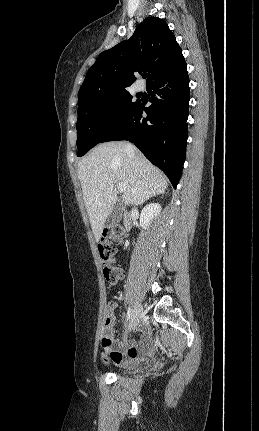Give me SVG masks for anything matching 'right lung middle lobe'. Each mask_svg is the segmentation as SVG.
Instances as JSON below:
<instances>
[{
	"label": "right lung middle lobe",
	"mask_w": 259,
	"mask_h": 431,
	"mask_svg": "<svg viewBox=\"0 0 259 431\" xmlns=\"http://www.w3.org/2000/svg\"><path fill=\"white\" fill-rule=\"evenodd\" d=\"M133 102L126 89L87 96L78 103L77 156L85 155L130 113Z\"/></svg>",
	"instance_id": "obj_1"
}]
</instances>
